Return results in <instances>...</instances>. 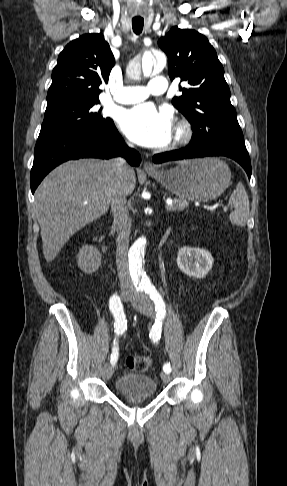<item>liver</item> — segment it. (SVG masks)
<instances>
[{
    "instance_id": "liver-1",
    "label": "liver",
    "mask_w": 287,
    "mask_h": 486,
    "mask_svg": "<svg viewBox=\"0 0 287 486\" xmlns=\"http://www.w3.org/2000/svg\"><path fill=\"white\" fill-rule=\"evenodd\" d=\"M112 161L80 159L55 168L35 192V208L41 229L43 254L53 261L69 238L109 209L113 181ZM124 195L136 186V175L128 167Z\"/></svg>"
}]
</instances>
